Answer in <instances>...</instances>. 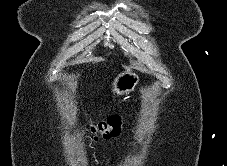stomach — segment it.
Listing matches in <instances>:
<instances>
[{
  "instance_id": "obj_1",
  "label": "stomach",
  "mask_w": 227,
  "mask_h": 166,
  "mask_svg": "<svg viewBox=\"0 0 227 166\" xmlns=\"http://www.w3.org/2000/svg\"><path fill=\"white\" fill-rule=\"evenodd\" d=\"M140 77L130 69L119 73L113 80L111 92L115 95L129 94L139 84Z\"/></svg>"
}]
</instances>
